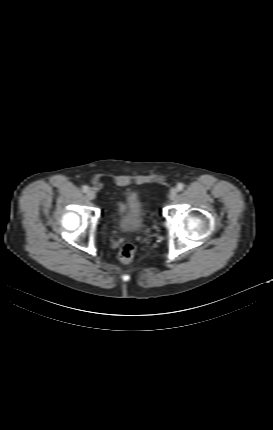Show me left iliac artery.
<instances>
[{
  "label": "left iliac artery",
  "instance_id": "44dca946",
  "mask_svg": "<svg viewBox=\"0 0 273 430\" xmlns=\"http://www.w3.org/2000/svg\"><path fill=\"white\" fill-rule=\"evenodd\" d=\"M184 189V184L183 183H178L177 184V191H182Z\"/></svg>",
  "mask_w": 273,
  "mask_h": 430
}]
</instances>
